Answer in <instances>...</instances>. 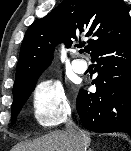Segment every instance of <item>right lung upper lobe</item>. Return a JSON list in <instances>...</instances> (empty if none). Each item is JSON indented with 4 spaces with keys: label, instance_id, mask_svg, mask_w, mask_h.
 Returning a JSON list of instances; mask_svg holds the SVG:
<instances>
[{
    "label": "right lung upper lobe",
    "instance_id": "cb5924a9",
    "mask_svg": "<svg viewBox=\"0 0 131 151\" xmlns=\"http://www.w3.org/2000/svg\"><path fill=\"white\" fill-rule=\"evenodd\" d=\"M130 31L129 10L123 0H63L26 31L13 90L28 84L50 65L57 40L70 48L72 39L90 37L85 49L91 55Z\"/></svg>",
    "mask_w": 131,
    "mask_h": 151
}]
</instances>
